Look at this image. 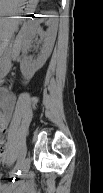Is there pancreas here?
<instances>
[{
  "instance_id": "1",
  "label": "pancreas",
  "mask_w": 103,
  "mask_h": 193,
  "mask_svg": "<svg viewBox=\"0 0 103 193\" xmlns=\"http://www.w3.org/2000/svg\"><path fill=\"white\" fill-rule=\"evenodd\" d=\"M12 26L13 27H17L18 26V21H13L12 22ZM21 45H22V38L21 37H18L16 40H15V43H14V48H13V53L15 55H17L20 51V48H21Z\"/></svg>"
}]
</instances>
